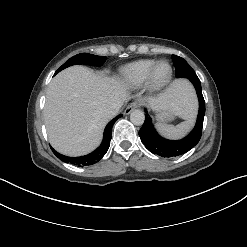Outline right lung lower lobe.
Listing matches in <instances>:
<instances>
[{
  "label": "right lung lower lobe",
  "mask_w": 247,
  "mask_h": 247,
  "mask_svg": "<svg viewBox=\"0 0 247 247\" xmlns=\"http://www.w3.org/2000/svg\"><path fill=\"white\" fill-rule=\"evenodd\" d=\"M121 116H122L121 114L118 115L117 117L112 119L107 124V126L105 127V130H104V136H103V141H102L101 145L92 153L85 155V156L73 158V157L64 156V155L56 152L53 148H51L53 153L63 162L71 163V164H74V165H77L80 167L88 166V165H92L94 163H97L99 160H101V158L108 151L109 146H110L112 127H113L114 123L116 122V120L118 118H120Z\"/></svg>",
  "instance_id": "98d812e1"
}]
</instances>
